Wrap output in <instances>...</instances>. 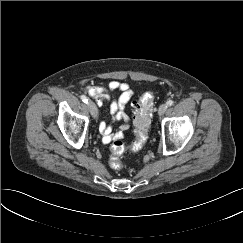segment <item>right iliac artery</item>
<instances>
[{
    "label": "right iliac artery",
    "mask_w": 243,
    "mask_h": 243,
    "mask_svg": "<svg viewBox=\"0 0 243 243\" xmlns=\"http://www.w3.org/2000/svg\"><path fill=\"white\" fill-rule=\"evenodd\" d=\"M81 100H82L84 103H88V98H87L85 95H81Z\"/></svg>",
    "instance_id": "right-iliac-artery-1"
}]
</instances>
